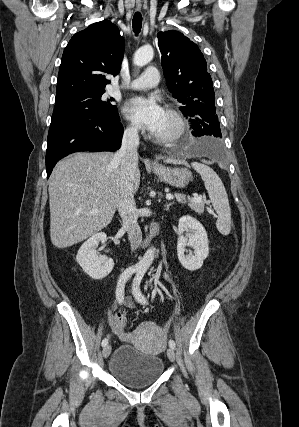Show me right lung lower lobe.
<instances>
[{
  "instance_id": "98d812e1",
  "label": "right lung lower lobe",
  "mask_w": 299,
  "mask_h": 427,
  "mask_svg": "<svg viewBox=\"0 0 299 427\" xmlns=\"http://www.w3.org/2000/svg\"><path fill=\"white\" fill-rule=\"evenodd\" d=\"M122 135L119 117L74 114L51 121L46 151L47 177L55 164L70 153L119 149Z\"/></svg>"
}]
</instances>
